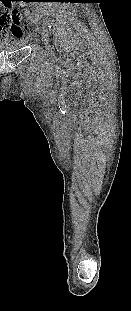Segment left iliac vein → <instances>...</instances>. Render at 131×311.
Masks as SVG:
<instances>
[{"label": "left iliac vein", "mask_w": 131, "mask_h": 311, "mask_svg": "<svg viewBox=\"0 0 131 311\" xmlns=\"http://www.w3.org/2000/svg\"><path fill=\"white\" fill-rule=\"evenodd\" d=\"M42 40L44 41L45 47L47 50L51 51V45L49 40V31L47 28L41 30Z\"/></svg>", "instance_id": "4c4485c4"}]
</instances>
